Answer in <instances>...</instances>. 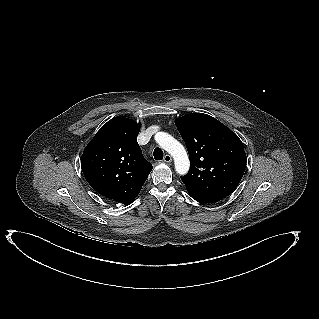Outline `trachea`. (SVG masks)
<instances>
[{
  "label": "trachea",
  "mask_w": 319,
  "mask_h": 319,
  "mask_svg": "<svg viewBox=\"0 0 319 319\" xmlns=\"http://www.w3.org/2000/svg\"><path fill=\"white\" fill-rule=\"evenodd\" d=\"M153 155H154V159L155 160H162L163 159V151L161 148L157 147L154 149V152H153Z\"/></svg>",
  "instance_id": "1"
}]
</instances>
